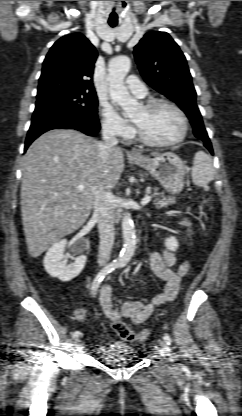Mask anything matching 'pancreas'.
Here are the masks:
<instances>
[{"label":"pancreas","instance_id":"cf45deb5","mask_svg":"<svg viewBox=\"0 0 242 416\" xmlns=\"http://www.w3.org/2000/svg\"><path fill=\"white\" fill-rule=\"evenodd\" d=\"M151 196L156 197L154 201V205L158 208L168 207L169 205L175 204L176 202L175 197H172V196L167 197L163 193L158 194L154 192L153 194H151Z\"/></svg>","mask_w":242,"mask_h":416}]
</instances>
